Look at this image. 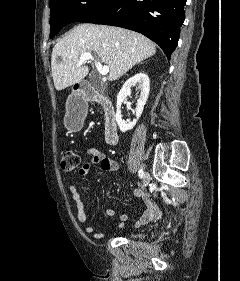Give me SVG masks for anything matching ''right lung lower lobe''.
Listing matches in <instances>:
<instances>
[{
  "label": "right lung lower lobe",
  "mask_w": 240,
  "mask_h": 281,
  "mask_svg": "<svg viewBox=\"0 0 240 281\" xmlns=\"http://www.w3.org/2000/svg\"><path fill=\"white\" fill-rule=\"evenodd\" d=\"M186 0H118L91 23L119 26L147 36L169 59L175 50L185 19Z\"/></svg>",
  "instance_id": "1"
}]
</instances>
